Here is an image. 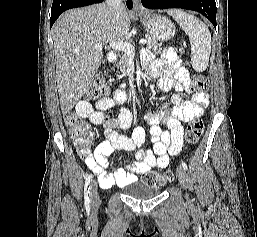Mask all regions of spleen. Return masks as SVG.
I'll list each match as a JSON object with an SVG mask.
<instances>
[{
	"instance_id": "spleen-1",
	"label": "spleen",
	"mask_w": 257,
	"mask_h": 237,
	"mask_svg": "<svg viewBox=\"0 0 257 237\" xmlns=\"http://www.w3.org/2000/svg\"><path fill=\"white\" fill-rule=\"evenodd\" d=\"M171 15L188 35L191 44V64L195 71L206 70L211 52V34L199 19L181 10H169Z\"/></svg>"
}]
</instances>
